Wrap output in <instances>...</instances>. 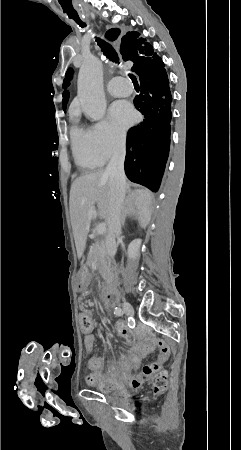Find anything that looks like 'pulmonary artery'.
Segmentation results:
<instances>
[{
	"label": "pulmonary artery",
	"instance_id": "1",
	"mask_svg": "<svg viewBox=\"0 0 241 450\" xmlns=\"http://www.w3.org/2000/svg\"><path fill=\"white\" fill-rule=\"evenodd\" d=\"M109 82L107 91L114 97H125L127 94L124 92H131L130 78H122L121 74H110Z\"/></svg>",
	"mask_w": 241,
	"mask_h": 450
}]
</instances>
